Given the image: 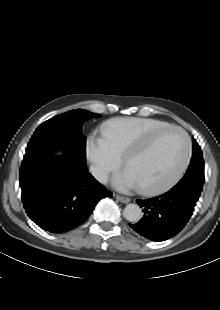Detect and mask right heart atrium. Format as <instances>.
I'll return each mask as SVG.
<instances>
[{"label":"right heart atrium","mask_w":220,"mask_h":310,"mask_svg":"<svg viewBox=\"0 0 220 310\" xmlns=\"http://www.w3.org/2000/svg\"><path fill=\"white\" fill-rule=\"evenodd\" d=\"M96 161L108 172L115 171V162L113 158L103 152H96L94 154Z\"/></svg>","instance_id":"d8ad5b80"}]
</instances>
